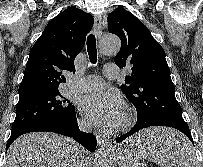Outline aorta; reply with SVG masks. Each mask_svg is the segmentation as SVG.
I'll return each instance as SVG.
<instances>
[{"mask_svg":"<svg viewBox=\"0 0 203 167\" xmlns=\"http://www.w3.org/2000/svg\"><path fill=\"white\" fill-rule=\"evenodd\" d=\"M120 47V39L115 35L109 34L101 39L99 43V52L104 56H112L119 52ZM112 153V142L107 141L98 149L93 167H111Z\"/></svg>","mask_w":203,"mask_h":167,"instance_id":"aorta-1","label":"aorta"}]
</instances>
